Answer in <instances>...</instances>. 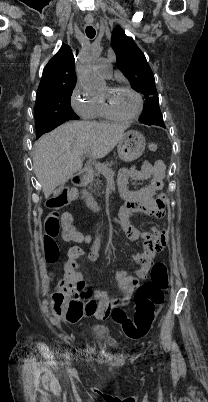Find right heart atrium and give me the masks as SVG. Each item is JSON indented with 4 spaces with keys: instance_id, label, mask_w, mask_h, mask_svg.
<instances>
[{
    "instance_id": "d8ad5b80",
    "label": "right heart atrium",
    "mask_w": 208,
    "mask_h": 402,
    "mask_svg": "<svg viewBox=\"0 0 208 402\" xmlns=\"http://www.w3.org/2000/svg\"><path fill=\"white\" fill-rule=\"evenodd\" d=\"M70 102L73 109H75L82 118L87 120L94 118L97 97L90 93L79 81L76 82L71 90Z\"/></svg>"
}]
</instances>
